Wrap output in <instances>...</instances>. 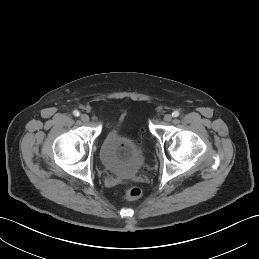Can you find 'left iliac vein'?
Listing matches in <instances>:
<instances>
[{"label":"left iliac vein","mask_w":259,"mask_h":259,"mask_svg":"<svg viewBox=\"0 0 259 259\" xmlns=\"http://www.w3.org/2000/svg\"><path fill=\"white\" fill-rule=\"evenodd\" d=\"M171 120H172V115L171 114L164 115V121L170 122Z\"/></svg>","instance_id":"left-iliac-vein-1"}]
</instances>
